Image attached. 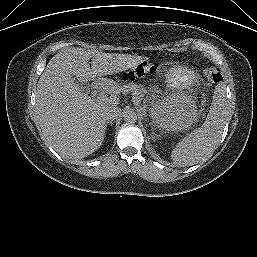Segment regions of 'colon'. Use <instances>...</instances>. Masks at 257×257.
<instances>
[{
	"label": "colon",
	"instance_id": "5ec220e1",
	"mask_svg": "<svg viewBox=\"0 0 257 257\" xmlns=\"http://www.w3.org/2000/svg\"><path fill=\"white\" fill-rule=\"evenodd\" d=\"M155 71L156 67L152 62H144L124 72L122 78L126 81H133L147 77L155 73ZM204 74L211 83H219L222 81L221 74L215 68H207Z\"/></svg>",
	"mask_w": 257,
	"mask_h": 257
}]
</instances>
